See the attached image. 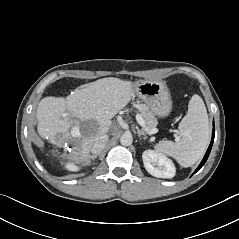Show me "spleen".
Here are the masks:
<instances>
[{"mask_svg": "<svg viewBox=\"0 0 239 239\" xmlns=\"http://www.w3.org/2000/svg\"><path fill=\"white\" fill-rule=\"evenodd\" d=\"M178 129L175 142L162 140L154 148L159 154L173 157L182 167H190L204 155L210 135L207 110L199 95L192 96Z\"/></svg>", "mask_w": 239, "mask_h": 239, "instance_id": "obj_1", "label": "spleen"}]
</instances>
